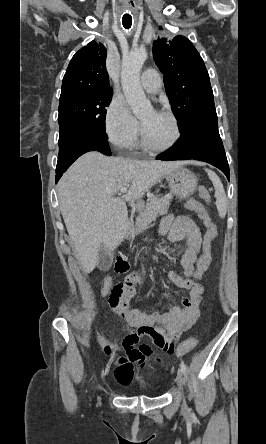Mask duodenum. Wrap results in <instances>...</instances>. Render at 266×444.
<instances>
[{"label":"duodenum","mask_w":266,"mask_h":444,"mask_svg":"<svg viewBox=\"0 0 266 444\" xmlns=\"http://www.w3.org/2000/svg\"><path fill=\"white\" fill-rule=\"evenodd\" d=\"M128 262L127 260L122 256V255H118L117 259H116V266L119 267V269L117 270H125L128 267Z\"/></svg>","instance_id":"obj_1"}]
</instances>
